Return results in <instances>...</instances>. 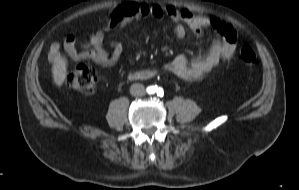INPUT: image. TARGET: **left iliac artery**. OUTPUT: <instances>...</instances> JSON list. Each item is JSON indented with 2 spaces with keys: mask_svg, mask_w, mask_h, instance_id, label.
Returning <instances> with one entry per match:
<instances>
[{
  "mask_svg": "<svg viewBox=\"0 0 299 190\" xmlns=\"http://www.w3.org/2000/svg\"><path fill=\"white\" fill-rule=\"evenodd\" d=\"M161 93H162V89H159V90H158V94H161Z\"/></svg>",
  "mask_w": 299,
  "mask_h": 190,
  "instance_id": "left-iliac-artery-1",
  "label": "left iliac artery"
}]
</instances>
